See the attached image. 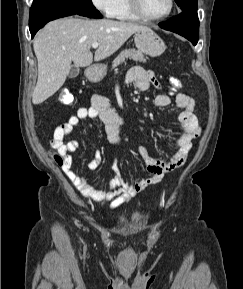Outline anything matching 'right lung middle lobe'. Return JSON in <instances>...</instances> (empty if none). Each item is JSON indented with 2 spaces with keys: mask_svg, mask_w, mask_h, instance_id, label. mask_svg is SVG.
Returning <instances> with one entry per match:
<instances>
[{
  "mask_svg": "<svg viewBox=\"0 0 243 289\" xmlns=\"http://www.w3.org/2000/svg\"><path fill=\"white\" fill-rule=\"evenodd\" d=\"M51 1H56L60 3H72V4H77V5H83V6H93L91 0H51Z\"/></svg>",
  "mask_w": 243,
  "mask_h": 289,
  "instance_id": "1",
  "label": "right lung middle lobe"
}]
</instances>
